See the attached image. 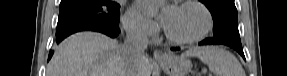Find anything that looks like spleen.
<instances>
[{
    "label": "spleen",
    "mask_w": 287,
    "mask_h": 76,
    "mask_svg": "<svg viewBox=\"0 0 287 76\" xmlns=\"http://www.w3.org/2000/svg\"><path fill=\"white\" fill-rule=\"evenodd\" d=\"M182 56L197 57L208 65L215 76H246L238 59L218 46L195 47L186 51Z\"/></svg>",
    "instance_id": "spleen-1"
}]
</instances>
